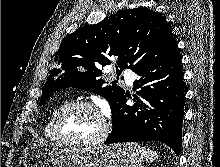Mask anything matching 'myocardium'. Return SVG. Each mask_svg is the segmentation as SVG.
I'll return each instance as SVG.
<instances>
[{"instance_id": "myocardium-1", "label": "myocardium", "mask_w": 220, "mask_h": 167, "mask_svg": "<svg viewBox=\"0 0 220 167\" xmlns=\"http://www.w3.org/2000/svg\"><path fill=\"white\" fill-rule=\"evenodd\" d=\"M75 106H82L91 109L97 113L101 119V128L99 133L92 139L87 140H72L64 137L60 131V120L65 115L67 111ZM52 130L56 140L67 146L73 147H92L103 143L110 134L111 123L106 112L100 108L95 103L84 100V99H75L64 103L55 113L52 122Z\"/></svg>"}]
</instances>
